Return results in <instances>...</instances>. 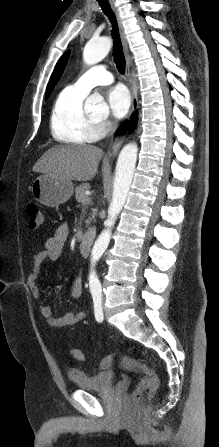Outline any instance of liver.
I'll return each instance as SVG.
<instances>
[{
	"label": "liver",
	"mask_w": 219,
	"mask_h": 447,
	"mask_svg": "<svg viewBox=\"0 0 219 447\" xmlns=\"http://www.w3.org/2000/svg\"><path fill=\"white\" fill-rule=\"evenodd\" d=\"M102 156V149L93 145L56 146L42 155L33 171L70 181H89L96 175Z\"/></svg>",
	"instance_id": "6515ba94"
}]
</instances>
